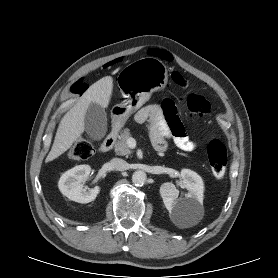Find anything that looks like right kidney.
<instances>
[{"mask_svg": "<svg viewBox=\"0 0 278 278\" xmlns=\"http://www.w3.org/2000/svg\"><path fill=\"white\" fill-rule=\"evenodd\" d=\"M91 172L89 165H79L66 171L60 177L58 182L59 190L69 200L78 203H89L97 197L100 192L98 186L85 190L83 189V183L88 178Z\"/></svg>", "mask_w": 278, "mask_h": 278, "instance_id": "ca27d5eb", "label": "right kidney"}]
</instances>
